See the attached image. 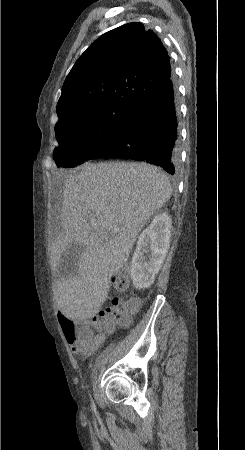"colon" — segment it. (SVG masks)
<instances>
[{
	"instance_id": "obj_1",
	"label": "colon",
	"mask_w": 245,
	"mask_h": 450,
	"mask_svg": "<svg viewBox=\"0 0 245 450\" xmlns=\"http://www.w3.org/2000/svg\"><path fill=\"white\" fill-rule=\"evenodd\" d=\"M130 276L126 272L119 273L113 280L114 289L122 292L127 288ZM119 299H112V304L117 305ZM138 309V301L131 299L124 305L123 312H111L110 309L101 311L97 320L90 322L86 320H76L68 315H61L58 318L59 326L65 336L70 341L76 339L78 341H88L92 338L93 327L103 326L106 329H113L116 326L124 327L130 322L131 314Z\"/></svg>"
}]
</instances>
